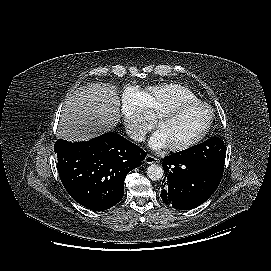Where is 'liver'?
<instances>
[{
    "instance_id": "liver-1",
    "label": "liver",
    "mask_w": 271,
    "mask_h": 271,
    "mask_svg": "<svg viewBox=\"0 0 271 271\" xmlns=\"http://www.w3.org/2000/svg\"><path fill=\"white\" fill-rule=\"evenodd\" d=\"M119 107L114 86L96 83L81 88L63 105L57 137L80 141L109 132L120 120Z\"/></svg>"
}]
</instances>
